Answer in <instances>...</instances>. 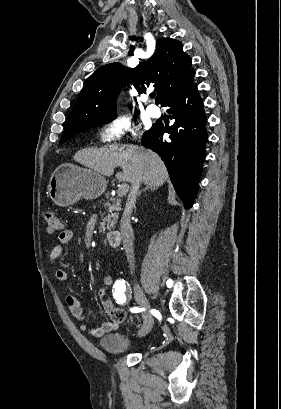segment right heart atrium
I'll list each match as a JSON object with an SVG mask.
<instances>
[{"label": "right heart atrium", "mask_w": 281, "mask_h": 409, "mask_svg": "<svg viewBox=\"0 0 281 409\" xmlns=\"http://www.w3.org/2000/svg\"><path fill=\"white\" fill-rule=\"evenodd\" d=\"M133 132L134 124L128 115H116L115 119L109 120L100 128L98 137L102 142H118L124 135Z\"/></svg>", "instance_id": "obj_1"}]
</instances>
